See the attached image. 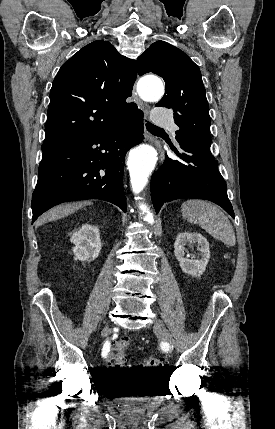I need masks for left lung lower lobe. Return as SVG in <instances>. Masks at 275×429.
Listing matches in <instances>:
<instances>
[{"label":"left lung lower lobe","mask_w":275,"mask_h":429,"mask_svg":"<svg viewBox=\"0 0 275 429\" xmlns=\"http://www.w3.org/2000/svg\"><path fill=\"white\" fill-rule=\"evenodd\" d=\"M180 144L183 153L172 150L181 160L165 157L163 165L152 175L151 197L156 213L161 206L176 199L196 198L212 201L233 218L227 185L218 169L210 146L188 139Z\"/></svg>","instance_id":"obj_1"}]
</instances>
